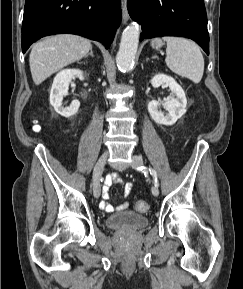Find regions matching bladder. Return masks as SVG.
I'll return each instance as SVG.
<instances>
[{"instance_id":"bladder-1","label":"bladder","mask_w":243,"mask_h":289,"mask_svg":"<svg viewBox=\"0 0 243 289\" xmlns=\"http://www.w3.org/2000/svg\"><path fill=\"white\" fill-rule=\"evenodd\" d=\"M106 223L111 229L130 231L146 227L149 220L144 215L132 211H122L109 216Z\"/></svg>"}]
</instances>
